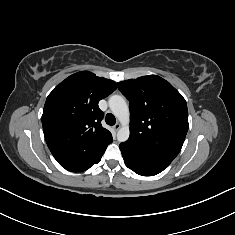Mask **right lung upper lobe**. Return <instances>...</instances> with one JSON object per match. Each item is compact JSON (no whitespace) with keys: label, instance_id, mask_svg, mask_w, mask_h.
Instances as JSON below:
<instances>
[{"label":"right lung upper lobe","instance_id":"obj_1","mask_svg":"<svg viewBox=\"0 0 235 235\" xmlns=\"http://www.w3.org/2000/svg\"><path fill=\"white\" fill-rule=\"evenodd\" d=\"M116 88L114 81L82 71L49 94L42 125L48 148L60 165L93 158L113 141L101 125L103 112L98 102Z\"/></svg>","mask_w":235,"mask_h":235}]
</instances>
